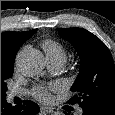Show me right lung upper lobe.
Here are the masks:
<instances>
[{
	"instance_id": "cb5924a9",
	"label": "right lung upper lobe",
	"mask_w": 115,
	"mask_h": 115,
	"mask_svg": "<svg viewBox=\"0 0 115 115\" xmlns=\"http://www.w3.org/2000/svg\"><path fill=\"white\" fill-rule=\"evenodd\" d=\"M36 30L1 33V75L13 74L18 49Z\"/></svg>"
}]
</instances>
